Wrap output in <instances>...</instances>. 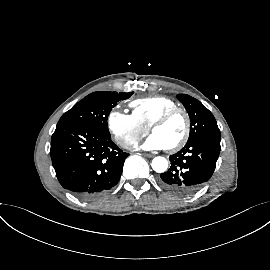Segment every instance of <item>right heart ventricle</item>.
Segmentation results:
<instances>
[{
    "mask_svg": "<svg viewBox=\"0 0 270 270\" xmlns=\"http://www.w3.org/2000/svg\"><path fill=\"white\" fill-rule=\"evenodd\" d=\"M130 106L135 118L149 128L160 115L171 108L178 107V104L165 96H148L133 100Z\"/></svg>",
    "mask_w": 270,
    "mask_h": 270,
    "instance_id": "e07e8e85",
    "label": "right heart ventricle"
}]
</instances>
